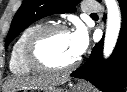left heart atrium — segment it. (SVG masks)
Here are the masks:
<instances>
[{
  "instance_id": "obj_1",
  "label": "left heart atrium",
  "mask_w": 127,
  "mask_h": 92,
  "mask_svg": "<svg viewBox=\"0 0 127 92\" xmlns=\"http://www.w3.org/2000/svg\"><path fill=\"white\" fill-rule=\"evenodd\" d=\"M71 34L75 55L80 57L88 47V35L84 27L78 26Z\"/></svg>"
}]
</instances>
